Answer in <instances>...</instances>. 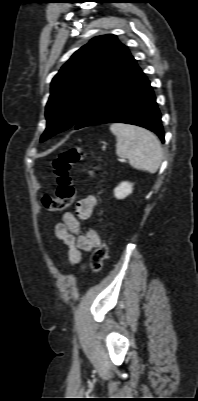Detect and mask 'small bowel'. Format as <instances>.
Listing matches in <instances>:
<instances>
[{
    "mask_svg": "<svg viewBox=\"0 0 198 401\" xmlns=\"http://www.w3.org/2000/svg\"><path fill=\"white\" fill-rule=\"evenodd\" d=\"M97 206V199L93 194L80 199L73 212H66L61 222L55 226L56 237L68 247L67 258L71 265L81 263L82 253L89 252L101 243L99 233L88 228L81 231L80 221L89 219Z\"/></svg>",
    "mask_w": 198,
    "mask_h": 401,
    "instance_id": "c3829d8e",
    "label": "small bowel"
}]
</instances>
